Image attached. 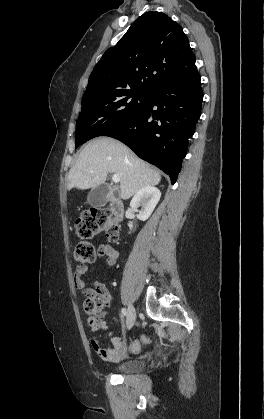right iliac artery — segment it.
Returning <instances> with one entry per match:
<instances>
[{
    "label": "right iliac artery",
    "mask_w": 264,
    "mask_h": 419,
    "mask_svg": "<svg viewBox=\"0 0 264 419\" xmlns=\"http://www.w3.org/2000/svg\"><path fill=\"white\" fill-rule=\"evenodd\" d=\"M121 312H122V315H123V316H126L127 311H126V309H125V308H122Z\"/></svg>",
    "instance_id": "1"
}]
</instances>
